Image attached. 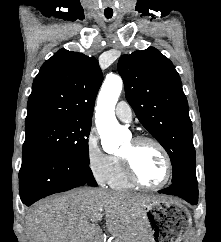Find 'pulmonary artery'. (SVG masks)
Returning <instances> with one entry per match:
<instances>
[{
    "label": "pulmonary artery",
    "instance_id": "1",
    "mask_svg": "<svg viewBox=\"0 0 221 242\" xmlns=\"http://www.w3.org/2000/svg\"><path fill=\"white\" fill-rule=\"evenodd\" d=\"M117 118L123 122L129 123L132 121V110L130 105L125 101L117 103L115 108Z\"/></svg>",
    "mask_w": 221,
    "mask_h": 242
}]
</instances>
